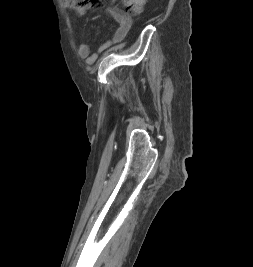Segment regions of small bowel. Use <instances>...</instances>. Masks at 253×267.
I'll list each match as a JSON object with an SVG mask.
<instances>
[{"instance_id":"obj_1","label":"small bowel","mask_w":253,"mask_h":267,"mask_svg":"<svg viewBox=\"0 0 253 267\" xmlns=\"http://www.w3.org/2000/svg\"><path fill=\"white\" fill-rule=\"evenodd\" d=\"M109 14L115 19L118 26L113 35L98 48L97 52L91 53L89 45L83 42L79 43L77 47L78 55L88 63H93L97 59L99 53L122 42L132 27V18L119 9L110 8Z\"/></svg>"}]
</instances>
